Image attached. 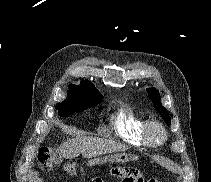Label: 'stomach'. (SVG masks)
I'll return each mask as SVG.
<instances>
[{
  "label": "stomach",
  "mask_w": 211,
  "mask_h": 182,
  "mask_svg": "<svg viewBox=\"0 0 211 182\" xmlns=\"http://www.w3.org/2000/svg\"><path fill=\"white\" fill-rule=\"evenodd\" d=\"M115 160L119 161V162H125L127 161L129 158H131L130 155H126V154H118L114 156Z\"/></svg>",
  "instance_id": "1"
}]
</instances>
